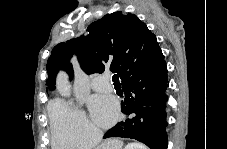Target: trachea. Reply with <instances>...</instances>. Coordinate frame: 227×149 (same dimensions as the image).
<instances>
[{
	"label": "trachea",
	"mask_w": 227,
	"mask_h": 149,
	"mask_svg": "<svg viewBox=\"0 0 227 149\" xmlns=\"http://www.w3.org/2000/svg\"><path fill=\"white\" fill-rule=\"evenodd\" d=\"M112 81L114 82V84H120V83H119V77H118L117 74H114V75L112 76Z\"/></svg>",
	"instance_id": "3493384b"
}]
</instances>
